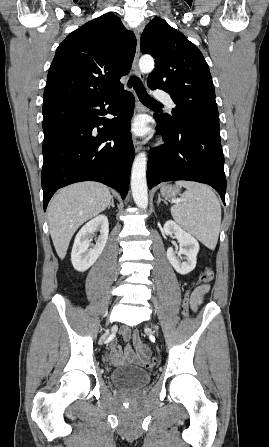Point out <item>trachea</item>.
Listing matches in <instances>:
<instances>
[{
	"label": "trachea",
	"instance_id": "obj_1",
	"mask_svg": "<svg viewBox=\"0 0 269 447\" xmlns=\"http://www.w3.org/2000/svg\"><path fill=\"white\" fill-rule=\"evenodd\" d=\"M129 87H132L135 89V92L137 93L139 99L141 100L144 105H162L160 102H157V100H154L145 90V87L143 86V83L141 80L134 76L129 80L128 83Z\"/></svg>",
	"mask_w": 269,
	"mask_h": 447
}]
</instances>
